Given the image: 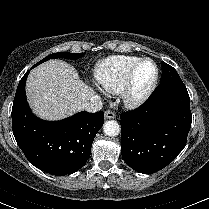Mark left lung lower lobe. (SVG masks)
<instances>
[{"mask_svg": "<svg viewBox=\"0 0 209 209\" xmlns=\"http://www.w3.org/2000/svg\"><path fill=\"white\" fill-rule=\"evenodd\" d=\"M120 118L124 161L143 174L159 171L186 145L192 122L186 86L182 80L162 82L142 106Z\"/></svg>", "mask_w": 209, "mask_h": 209, "instance_id": "left-lung-lower-lobe-1", "label": "left lung lower lobe"}]
</instances>
